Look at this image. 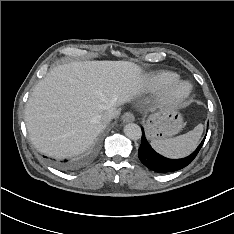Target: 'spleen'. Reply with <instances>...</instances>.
<instances>
[{
  "mask_svg": "<svg viewBox=\"0 0 234 234\" xmlns=\"http://www.w3.org/2000/svg\"><path fill=\"white\" fill-rule=\"evenodd\" d=\"M202 133L203 125L198 124L186 134L169 139H155L151 142V145L158 153L166 157L183 158L195 150Z\"/></svg>",
  "mask_w": 234,
  "mask_h": 234,
  "instance_id": "3e777b00",
  "label": "spleen"
}]
</instances>
